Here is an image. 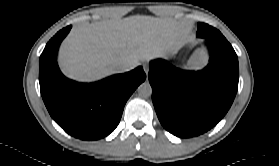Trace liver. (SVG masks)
I'll use <instances>...</instances> for the list:
<instances>
[{"instance_id":"1","label":"liver","mask_w":279,"mask_h":166,"mask_svg":"<svg viewBox=\"0 0 279 166\" xmlns=\"http://www.w3.org/2000/svg\"><path fill=\"white\" fill-rule=\"evenodd\" d=\"M183 34V27L173 19L142 15L84 24L62 43L59 64L71 79L95 81L119 72L122 63L175 54Z\"/></svg>"}]
</instances>
